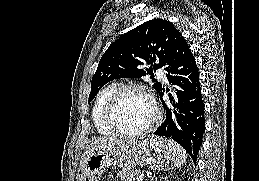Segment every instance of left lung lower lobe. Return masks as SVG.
Here are the masks:
<instances>
[{
	"instance_id": "1",
	"label": "left lung lower lobe",
	"mask_w": 259,
	"mask_h": 181,
	"mask_svg": "<svg viewBox=\"0 0 259 181\" xmlns=\"http://www.w3.org/2000/svg\"><path fill=\"white\" fill-rule=\"evenodd\" d=\"M165 70L177 98L170 96V104H166L162 99L165 89L158 92L166 110V119L154 134L172 138L196 162L205 130L204 103L195 58L183 36L175 39Z\"/></svg>"
}]
</instances>
